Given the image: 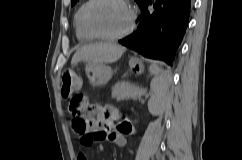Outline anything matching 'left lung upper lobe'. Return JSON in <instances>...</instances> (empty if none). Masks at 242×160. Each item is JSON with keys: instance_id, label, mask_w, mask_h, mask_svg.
I'll return each instance as SVG.
<instances>
[{"instance_id": "obj_1", "label": "left lung upper lobe", "mask_w": 242, "mask_h": 160, "mask_svg": "<svg viewBox=\"0 0 242 160\" xmlns=\"http://www.w3.org/2000/svg\"><path fill=\"white\" fill-rule=\"evenodd\" d=\"M78 0H71V5H75V3L77 2ZM137 2V4L139 5V7L143 4L144 0H135Z\"/></svg>"}]
</instances>
